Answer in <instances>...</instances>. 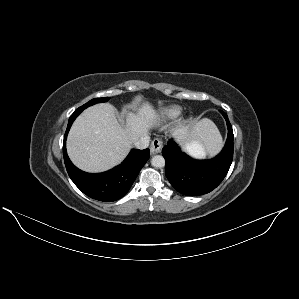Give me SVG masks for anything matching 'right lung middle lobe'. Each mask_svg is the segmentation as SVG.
<instances>
[{
    "label": "right lung middle lobe",
    "instance_id": "obj_1",
    "mask_svg": "<svg viewBox=\"0 0 299 299\" xmlns=\"http://www.w3.org/2000/svg\"><path fill=\"white\" fill-rule=\"evenodd\" d=\"M108 97H104V98H94L92 100H90L89 102H87L86 104H84L83 106H81V108L85 109L91 105H94L96 103H100V102H106L108 101Z\"/></svg>",
    "mask_w": 299,
    "mask_h": 299
}]
</instances>
